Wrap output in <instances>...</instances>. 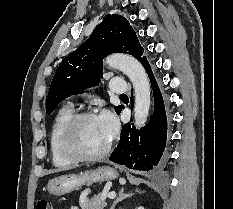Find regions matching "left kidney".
I'll use <instances>...</instances> for the list:
<instances>
[{"mask_svg": "<svg viewBox=\"0 0 233 209\" xmlns=\"http://www.w3.org/2000/svg\"><path fill=\"white\" fill-rule=\"evenodd\" d=\"M137 209H144V207H139V208H137Z\"/></svg>", "mask_w": 233, "mask_h": 209, "instance_id": "obj_1", "label": "left kidney"}]
</instances>
